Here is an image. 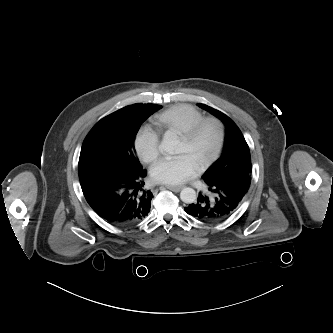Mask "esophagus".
Returning a JSON list of instances; mask_svg holds the SVG:
<instances>
[{
    "label": "esophagus",
    "mask_w": 333,
    "mask_h": 333,
    "mask_svg": "<svg viewBox=\"0 0 333 333\" xmlns=\"http://www.w3.org/2000/svg\"><path fill=\"white\" fill-rule=\"evenodd\" d=\"M167 189L174 191V192H179L183 186H171V185H167L166 186Z\"/></svg>",
    "instance_id": "esophagus-1"
}]
</instances>
